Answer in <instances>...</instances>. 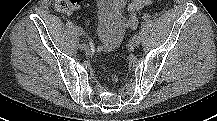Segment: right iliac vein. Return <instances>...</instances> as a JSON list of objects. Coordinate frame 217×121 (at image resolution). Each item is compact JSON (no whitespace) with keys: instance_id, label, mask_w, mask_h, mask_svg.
I'll return each mask as SVG.
<instances>
[{"instance_id":"1","label":"right iliac vein","mask_w":217,"mask_h":121,"mask_svg":"<svg viewBox=\"0 0 217 121\" xmlns=\"http://www.w3.org/2000/svg\"><path fill=\"white\" fill-rule=\"evenodd\" d=\"M80 49H82L83 51H87L88 50V46L84 43L80 44Z\"/></svg>"}]
</instances>
